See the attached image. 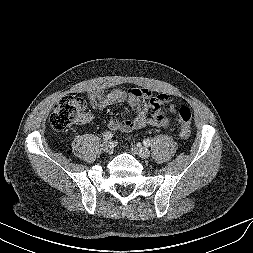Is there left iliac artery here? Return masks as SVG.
<instances>
[{
  "instance_id": "44dca946",
  "label": "left iliac artery",
  "mask_w": 253,
  "mask_h": 253,
  "mask_svg": "<svg viewBox=\"0 0 253 253\" xmlns=\"http://www.w3.org/2000/svg\"><path fill=\"white\" fill-rule=\"evenodd\" d=\"M143 144H144L146 147H149V146L151 145V142H150L149 139H145V140L143 141Z\"/></svg>"
}]
</instances>
